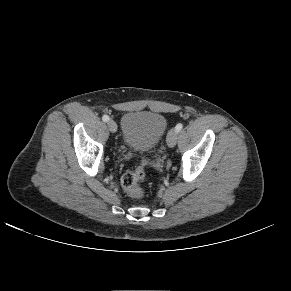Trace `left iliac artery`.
<instances>
[{
  "label": "left iliac artery",
  "instance_id": "44dca946",
  "mask_svg": "<svg viewBox=\"0 0 291 291\" xmlns=\"http://www.w3.org/2000/svg\"><path fill=\"white\" fill-rule=\"evenodd\" d=\"M182 128H183V125H182L181 123H178V124L176 125V127H175V130H176L177 132H180V131L182 130Z\"/></svg>",
  "mask_w": 291,
  "mask_h": 291
}]
</instances>
